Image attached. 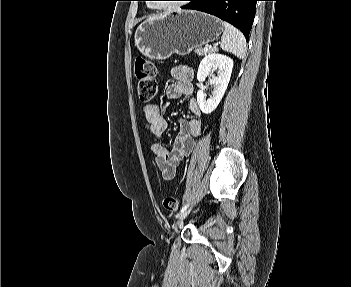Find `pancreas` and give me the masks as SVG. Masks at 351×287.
<instances>
[{"instance_id":"obj_1","label":"pancreas","mask_w":351,"mask_h":287,"mask_svg":"<svg viewBox=\"0 0 351 287\" xmlns=\"http://www.w3.org/2000/svg\"><path fill=\"white\" fill-rule=\"evenodd\" d=\"M213 51V49H208V51H205L202 47H198L195 52L200 55V56H203V55H206L207 53Z\"/></svg>"}]
</instances>
